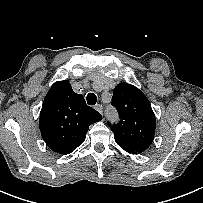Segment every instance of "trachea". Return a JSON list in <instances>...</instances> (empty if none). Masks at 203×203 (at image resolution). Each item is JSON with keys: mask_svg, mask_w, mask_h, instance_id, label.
<instances>
[{"mask_svg": "<svg viewBox=\"0 0 203 203\" xmlns=\"http://www.w3.org/2000/svg\"><path fill=\"white\" fill-rule=\"evenodd\" d=\"M87 103L89 104V105H95L96 104V102H97V97H96V95L94 94V93H89L88 95H87Z\"/></svg>", "mask_w": 203, "mask_h": 203, "instance_id": "3493384b", "label": "trachea"}]
</instances>
